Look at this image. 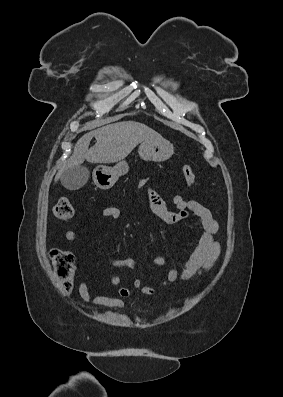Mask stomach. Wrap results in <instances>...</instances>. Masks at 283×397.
<instances>
[{
	"label": "stomach",
	"mask_w": 283,
	"mask_h": 397,
	"mask_svg": "<svg viewBox=\"0 0 283 397\" xmlns=\"http://www.w3.org/2000/svg\"><path fill=\"white\" fill-rule=\"evenodd\" d=\"M140 157L145 161L162 162L169 159L174 150L170 141L146 140L138 149ZM128 164L125 161L118 162L115 166L98 165L93 170V180L97 187L106 190L111 188L118 178L128 172Z\"/></svg>",
	"instance_id": "1"
}]
</instances>
